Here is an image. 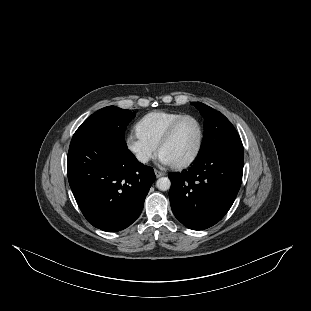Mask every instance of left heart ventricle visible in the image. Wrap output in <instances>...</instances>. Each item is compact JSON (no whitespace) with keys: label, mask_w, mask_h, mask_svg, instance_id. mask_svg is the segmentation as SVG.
<instances>
[{"label":"left heart ventricle","mask_w":311,"mask_h":311,"mask_svg":"<svg viewBox=\"0 0 311 311\" xmlns=\"http://www.w3.org/2000/svg\"><path fill=\"white\" fill-rule=\"evenodd\" d=\"M201 137L198 121L188 118L179 127L174 139L161 152L172 165L183 163L193 157Z\"/></svg>","instance_id":"1"}]
</instances>
